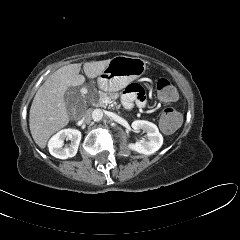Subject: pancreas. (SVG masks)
<instances>
[{"label":"pancreas","instance_id":"obj_1","mask_svg":"<svg viewBox=\"0 0 240 240\" xmlns=\"http://www.w3.org/2000/svg\"><path fill=\"white\" fill-rule=\"evenodd\" d=\"M116 97H117L116 94H113V93L107 94V93H104L102 91H99L95 96L90 98V102L95 106L104 107V106L107 105L104 102V100L106 98L112 99V98H116Z\"/></svg>","mask_w":240,"mask_h":240}]
</instances>
